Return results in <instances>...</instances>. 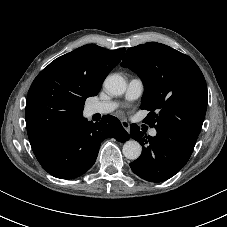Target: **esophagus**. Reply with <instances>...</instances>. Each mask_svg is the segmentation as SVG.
Here are the masks:
<instances>
[{"mask_svg": "<svg viewBox=\"0 0 227 227\" xmlns=\"http://www.w3.org/2000/svg\"><path fill=\"white\" fill-rule=\"evenodd\" d=\"M122 127L129 133L130 131V124L126 120L121 121Z\"/></svg>", "mask_w": 227, "mask_h": 227, "instance_id": "34e87169", "label": "esophagus"}]
</instances>
